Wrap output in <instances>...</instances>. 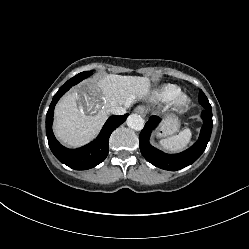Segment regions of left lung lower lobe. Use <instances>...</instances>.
<instances>
[{
    "label": "left lung lower lobe",
    "mask_w": 249,
    "mask_h": 249,
    "mask_svg": "<svg viewBox=\"0 0 249 249\" xmlns=\"http://www.w3.org/2000/svg\"><path fill=\"white\" fill-rule=\"evenodd\" d=\"M199 103L202 111L203 126L198 140L187 150L178 154H166L149 143V138L153 129L160 122L158 116H151L146 122L139 136L140 151L144 158L154 166L170 171L180 170L194 163L204 152L212 132V110L211 105L204 93L199 95Z\"/></svg>",
    "instance_id": "left-lung-lower-lobe-1"
}]
</instances>
